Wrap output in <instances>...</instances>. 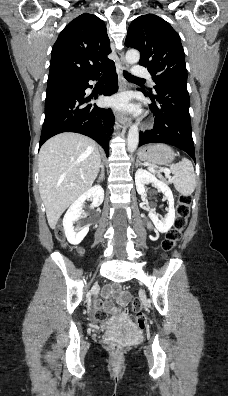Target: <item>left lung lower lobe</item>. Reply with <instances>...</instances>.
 Masks as SVG:
<instances>
[{
  "label": "left lung lower lobe",
  "mask_w": 228,
  "mask_h": 396,
  "mask_svg": "<svg viewBox=\"0 0 228 396\" xmlns=\"http://www.w3.org/2000/svg\"><path fill=\"white\" fill-rule=\"evenodd\" d=\"M140 90L152 100L150 108L155 117V125L152 130L140 133L139 145L170 144L188 153L195 161L187 85L178 82L164 83L157 86L154 95Z\"/></svg>",
  "instance_id": "obj_1"
}]
</instances>
